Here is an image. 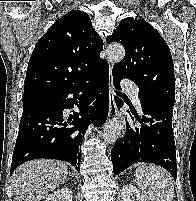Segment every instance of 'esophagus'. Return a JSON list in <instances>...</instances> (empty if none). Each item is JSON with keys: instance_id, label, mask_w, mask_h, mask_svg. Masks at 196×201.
I'll return each instance as SVG.
<instances>
[{"instance_id": "obj_1", "label": "esophagus", "mask_w": 196, "mask_h": 201, "mask_svg": "<svg viewBox=\"0 0 196 201\" xmlns=\"http://www.w3.org/2000/svg\"><path fill=\"white\" fill-rule=\"evenodd\" d=\"M109 117L118 116V108L114 100V87H113V77H112V66H110V79H109ZM124 134V131H123Z\"/></svg>"}]
</instances>
